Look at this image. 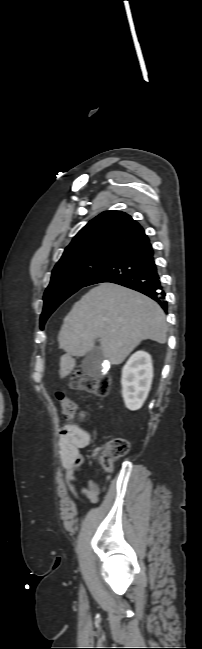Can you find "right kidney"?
<instances>
[{"label": "right kidney", "instance_id": "1", "mask_svg": "<svg viewBox=\"0 0 202 649\" xmlns=\"http://www.w3.org/2000/svg\"><path fill=\"white\" fill-rule=\"evenodd\" d=\"M153 366L151 356L138 351L131 355L122 369L121 385L125 406L138 410L145 402L151 388Z\"/></svg>", "mask_w": 202, "mask_h": 649}]
</instances>
